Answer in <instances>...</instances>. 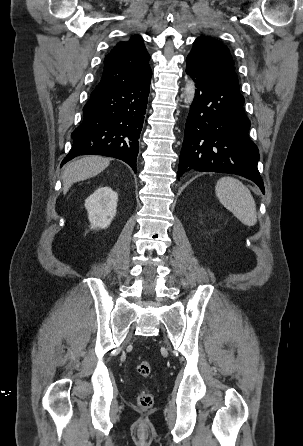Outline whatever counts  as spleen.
<instances>
[{
  "instance_id": "1",
  "label": "spleen",
  "mask_w": 303,
  "mask_h": 446,
  "mask_svg": "<svg viewBox=\"0 0 303 446\" xmlns=\"http://www.w3.org/2000/svg\"><path fill=\"white\" fill-rule=\"evenodd\" d=\"M216 195L229 211L243 224L253 226L257 222L256 204L250 190L238 179L222 177L215 186Z\"/></svg>"
}]
</instances>
